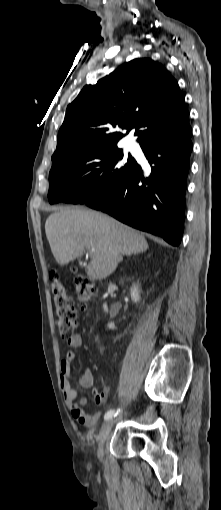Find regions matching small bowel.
<instances>
[{"label": "small bowel", "mask_w": 221, "mask_h": 510, "mask_svg": "<svg viewBox=\"0 0 221 510\" xmlns=\"http://www.w3.org/2000/svg\"><path fill=\"white\" fill-rule=\"evenodd\" d=\"M68 345L74 350L80 349L83 346L82 336L80 334L73 335L71 338H69ZM74 350L67 351L64 359L60 363L61 388L65 403L70 409L73 418L87 427H93L99 422L102 413L100 411L94 413H88L84 411L81 405L86 402V399L79 397L77 391L72 387L70 383L71 364L76 359V352ZM93 383L94 376L92 371L89 368L84 369L78 380L79 386L81 388H89L93 385ZM101 394L104 396L105 402L107 397L104 393Z\"/></svg>", "instance_id": "small-bowel-1"}]
</instances>
